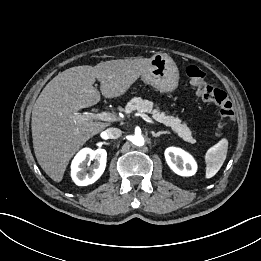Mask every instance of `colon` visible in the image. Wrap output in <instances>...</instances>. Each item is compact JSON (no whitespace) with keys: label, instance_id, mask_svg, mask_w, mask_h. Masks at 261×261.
<instances>
[{"label":"colon","instance_id":"5ec220e1","mask_svg":"<svg viewBox=\"0 0 261 261\" xmlns=\"http://www.w3.org/2000/svg\"><path fill=\"white\" fill-rule=\"evenodd\" d=\"M186 75L198 97L218 106L221 117L219 133L227 132L234 123V109L227 94L214 85L207 83L204 71L195 65L186 68Z\"/></svg>","mask_w":261,"mask_h":261}]
</instances>
